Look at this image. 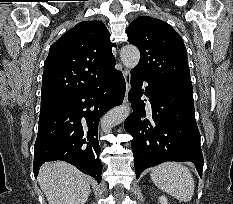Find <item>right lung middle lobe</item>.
<instances>
[{"label": "right lung middle lobe", "mask_w": 233, "mask_h": 204, "mask_svg": "<svg viewBox=\"0 0 233 204\" xmlns=\"http://www.w3.org/2000/svg\"><path fill=\"white\" fill-rule=\"evenodd\" d=\"M61 104H62V102H53V103L41 104L40 116H43L45 114L50 113L51 111L56 109Z\"/></svg>", "instance_id": "obj_1"}]
</instances>
